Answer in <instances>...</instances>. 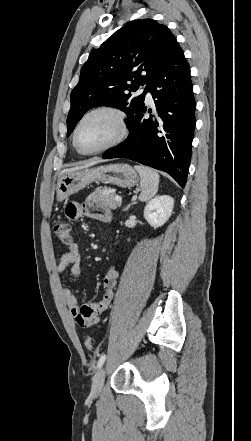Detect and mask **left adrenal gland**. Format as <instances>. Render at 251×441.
<instances>
[{
  "label": "left adrenal gland",
  "instance_id": "1",
  "mask_svg": "<svg viewBox=\"0 0 251 441\" xmlns=\"http://www.w3.org/2000/svg\"><path fill=\"white\" fill-rule=\"evenodd\" d=\"M133 204H135V202L129 204V205L124 209V211H127V210H128Z\"/></svg>",
  "mask_w": 251,
  "mask_h": 441
}]
</instances>
